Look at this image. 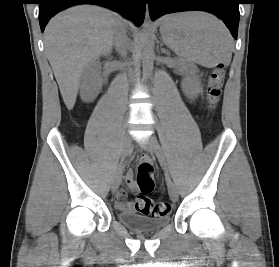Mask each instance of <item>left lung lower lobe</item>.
<instances>
[{
    "label": "left lung lower lobe",
    "mask_w": 279,
    "mask_h": 267,
    "mask_svg": "<svg viewBox=\"0 0 279 267\" xmlns=\"http://www.w3.org/2000/svg\"><path fill=\"white\" fill-rule=\"evenodd\" d=\"M151 20L179 11L200 10L220 17L237 39L239 24V0H149Z\"/></svg>",
    "instance_id": "0a47b994"
}]
</instances>
